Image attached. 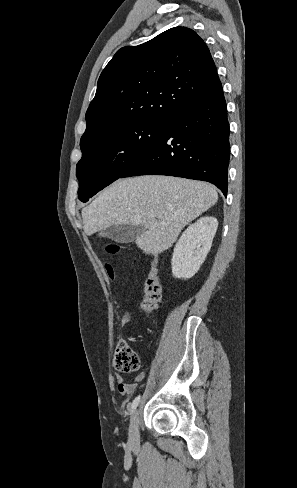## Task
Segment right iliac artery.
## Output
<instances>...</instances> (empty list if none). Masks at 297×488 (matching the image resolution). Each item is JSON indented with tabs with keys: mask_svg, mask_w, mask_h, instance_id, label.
<instances>
[{
	"mask_svg": "<svg viewBox=\"0 0 297 488\" xmlns=\"http://www.w3.org/2000/svg\"><path fill=\"white\" fill-rule=\"evenodd\" d=\"M139 402H140V395H139V396H137V397H136V398L133 400V402H132V404H131V411H132V412H133V411L136 409V407L138 406Z\"/></svg>",
	"mask_w": 297,
	"mask_h": 488,
	"instance_id": "right-iliac-artery-1",
	"label": "right iliac artery"
}]
</instances>
